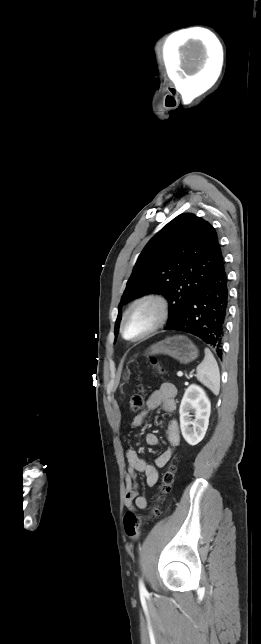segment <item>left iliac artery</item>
Listing matches in <instances>:
<instances>
[{"label":"left iliac artery","mask_w":261,"mask_h":644,"mask_svg":"<svg viewBox=\"0 0 261 644\" xmlns=\"http://www.w3.org/2000/svg\"><path fill=\"white\" fill-rule=\"evenodd\" d=\"M139 590L142 594H145L147 592L142 580L139 581Z\"/></svg>","instance_id":"left-iliac-artery-1"}]
</instances>
